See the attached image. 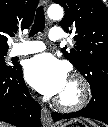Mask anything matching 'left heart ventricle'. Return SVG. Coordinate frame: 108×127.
<instances>
[{"mask_svg":"<svg viewBox=\"0 0 108 127\" xmlns=\"http://www.w3.org/2000/svg\"><path fill=\"white\" fill-rule=\"evenodd\" d=\"M58 97L66 101H73L77 97V88L75 84L68 79L64 89L58 95Z\"/></svg>","mask_w":108,"mask_h":127,"instance_id":"b2bd125f","label":"left heart ventricle"}]
</instances>
